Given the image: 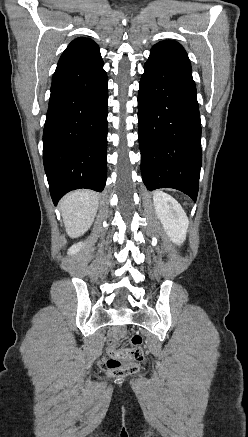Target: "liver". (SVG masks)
Returning <instances> with one entry per match:
<instances>
[{"mask_svg":"<svg viewBox=\"0 0 248 437\" xmlns=\"http://www.w3.org/2000/svg\"><path fill=\"white\" fill-rule=\"evenodd\" d=\"M98 195L90 190H78L65 196L60 210L69 237L82 236L91 227L98 210Z\"/></svg>","mask_w":248,"mask_h":437,"instance_id":"obj_1","label":"liver"}]
</instances>
